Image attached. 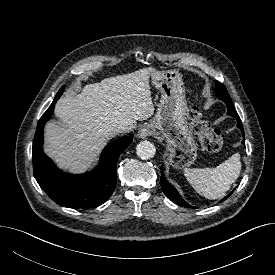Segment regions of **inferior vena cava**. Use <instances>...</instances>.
Returning a JSON list of instances; mask_svg holds the SVG:
<instances>
[{"label": "inferior vena cava", "instance_id": "obj_1", "mask_svg": "<svg viewBox=\"0 0 275 275\" xmlns=\"http://www.w3.org/2000/svg\"><path fill=\"white\" fill-rule=\"evenodd\" d=\"M129 131H130V128L126 125H120L116 129V132H118V133H127Z\"/></svg>", "mask_w": 275, "mask_h": 275}]
</instances>
